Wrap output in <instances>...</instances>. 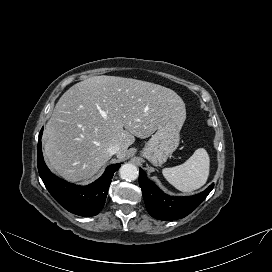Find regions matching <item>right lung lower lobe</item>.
<instances>
[{
  "instance_id": "right-lung-lower-lobe-1",
  "label": "right lung lower lobe",
  "mask_w": 272,
  "mask_h": 272,
  "mask_svg": "<svg viewBox=\"0 0 272 272\" xmlns=\"http://www.w3.org/2000/svg\"><path fill=\"white\" fill-rule=\"evenodd\" d=\"M42 131L43 128L39 134L37 166L45 187L53 198L69 212L83 217L97 215L105 204L114 172L120 168L121 164H113L107 167L104 174L90 185L70 184L52 174L45 165L41 150Z\"/></svg>"
}]
</instances>
